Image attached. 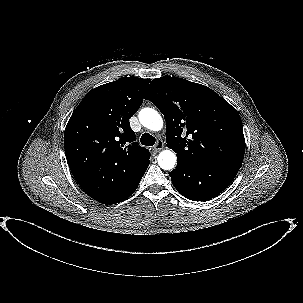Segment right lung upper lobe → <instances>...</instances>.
Here are the masks:
<instances>
[{
	"label": "right lung upper lobe",
	"mask_w": 303,
	"mask_h": 303,
	"mask_svg": "<svg viewBox=\"0 0 303 303\" xmlns=\"http://www.w3.org/2000/svg\"><path fill=\"white\" fill-rule=\"evenodd\" d=\"M150 79L122 77L82 99L64 132L67 162L84 192L102 202L129 186L149 165L129 119L137 112Z\"/></svg>",
	"instance_id": "cb5924a9"
}]
</instances>
